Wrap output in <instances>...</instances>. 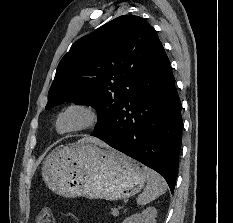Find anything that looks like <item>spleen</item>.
<instances>
[{
  "instance_id": "3e777b00",
  "label": "spleen",
  "mask_w": 233,
  "mask_h": 223,
  "mask_svg": "<svg viewBox=\"0 0 233 223\" xmlns=\"http://www.w3.org/2000/svg\"><path fill=\"white\" fill-rule=\"evenodd\" d=\"M146 177V189H144V191L137 197V203H139V205L150 203V201H153V199H156V197L165 193L167 189V183L164 177L159 175V173H156V171H153V169H149V167H146Z\"/></svg>"
}]
</instances>
